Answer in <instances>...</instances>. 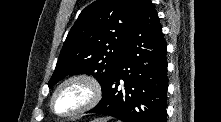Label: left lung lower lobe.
Returning a JSON list of instances; mask_svg holds the SVG:
<instances>
[{"mask_svg":"<svg viewBox=\"0 0 221 122\" xmlns=\"http://www.w3.org/2000/svg\"><path fill=\"white\" fill-rule=\"evenodd\" d=\"M166 50L157 12L150 0H141L103 97L87 113L109 115L123 122H166Z\"/></svg>","mask_w":221,"mask_h":122,"instance_id":"left-lung-lower-lobe-1","label":"left lung lower lobe"}]
</instances>
